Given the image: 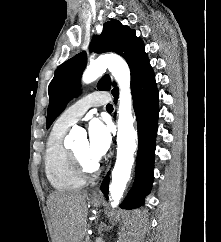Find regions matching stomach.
Masks as SVG:
<instances>
[{"label": "stomach", "mask_w": 221, "mask_h": 242, "mask_svg": "<svg viewBox=\"0 0 221 242\" xmlns=\"http://www.w3.org/2000/svg\"><path fill=\"white\" fill-rule=\"evenodd\" d=\"M101 202L102 201L100 199H93V198L90 199V203L95 207H98L99 205H101Z\"/></svg>", "instance_id": "stomach-1"}]
</instances>
